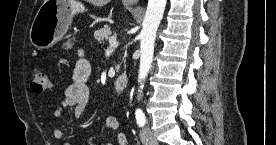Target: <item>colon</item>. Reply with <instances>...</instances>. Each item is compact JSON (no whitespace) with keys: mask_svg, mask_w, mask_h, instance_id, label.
Here are the masks:
<instances>
[{"mask_svg":"<svg viewBox=\"0 0 276 145\" xmlns=\"http://www.w3.org/2000/svg\"><path fill=\"white\" fill-rule=\"evenodd\" d=\"M31 89L35 93H42L50 87V80L44 70L33 67L30 71Z\"/></svg>","mask_w":276,"mask_h":145,"instance_id":"5ec220e1","label":"colon"}]
</instances>
